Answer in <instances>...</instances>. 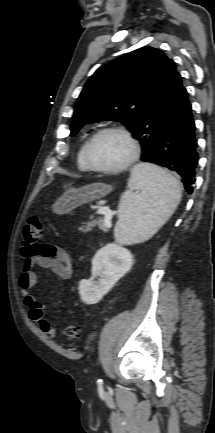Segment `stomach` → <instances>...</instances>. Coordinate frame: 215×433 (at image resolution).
<instances>
[{
	"label": "stomach",
	"mask_w": 215,
	"mask_h": 433,
	"mask_svg": "<svg viewBox=\"0 0 215 433\" xmlns=\"http://www.w3.org/2000/svg\"><path fill=\"white\" fill-rule=\"evenodd\" d=\"M113 187L105 183H92L66 191L53 205L56 214H68L79 206L107 196Z\"/></svg>",
	"instance_id": "stomach-1"
}]
</instances>
